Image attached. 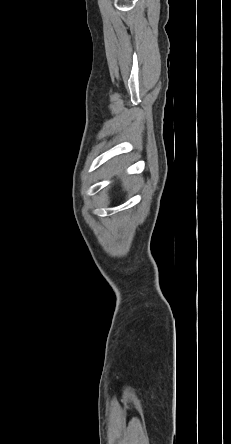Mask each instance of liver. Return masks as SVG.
<instances>
[{
  "mask_svg": "<svg viewBox=\"0 0 231 444\" xmlns=\"http://www.w3.org/2000/svg\"><path fill=\"white\" fill-rule=\"evenodd\" d=\"M114 167H115L116 172H120L123 169V167H121V165L119 164V160L114 161ZM133 181H134L133 179L126 178V179H123V184L126 188H128L131 186Z\"/></svg>",
  "mask_w": 231,
  "mask_h": 444,
  "instance_id": "obj_1",
  "label": "liver"
}]
</instances>
